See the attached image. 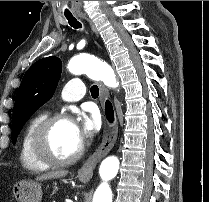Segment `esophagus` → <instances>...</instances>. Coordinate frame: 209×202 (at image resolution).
I'll list each match as a JSON object with an SVG mask.
<instances>
[{
  "label": "esophagus",
  "mask_w": 209,
  "mask_h": 202,
  "mask_svg": "<svg viewBox=\"0 0 209 202\" xmlns=\"http://www.w3.org/2000/svg\"><path fill=\"white\" fill-rule=\"evenodd\" d=\"M78 16L82 19L90 21L87 19L85 13H79ZM91 29L94 34H97L96 29L93 24H91ZM100 89V99L104 101L107 97H109V91L104 87L102 83H99ZM118 134V126L116 123L110 125L106 120L104 122V131L102 135V142L95 150V152L84 162L81 168L78 170V176L82 181H89L93 175V171L96 165L101 161L103 157H105L113 148L114 144L117 140Z\"/></svg>",
  "instance_id": "esophagus-1"
}]
</instances>
